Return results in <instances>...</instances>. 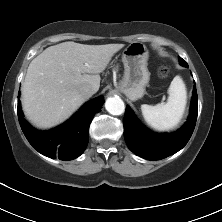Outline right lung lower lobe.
I'll return each instance as SVG.
<instances>
[{
	"label": "right lung lower lobe",
	"instance_id": "1",
	"mask_svg": "<svg viewBox=\"0 0 222 222\" xmlns=\"http://www.w3.org/2000/svg\"><path fill=\"white\" fill-rule=\"evenodd\" d=\"M102 104V96L87 102L70 120L50 131L32 128L24 120L19 100L17 113L22 131L35 150L49 158L58 157L68 161L84 152L88 144L90 123Z\"/></svg>",
	"mask_w": 222,
	"mask_h": 222
}]
</instances>
